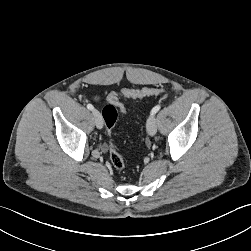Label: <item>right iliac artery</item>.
I'll return each mask as SVG.
<instances>
[{
  "label": "right iliac artery",
  "instance_id": "obj_1",
  "mask_svg": "<svg viewBox=\"0 0 251 251\" xmlns=\"http://www.w3.org/2000/svg\"><path fill=\"white\" fill-rule=\"evenodd\" d=\"M87 108H88L89 110H93V109H94L93 105H91V104H87Z\"/></svg>",
  "mask_w": 251,
  "mask_h": 251
}]
</instances>
